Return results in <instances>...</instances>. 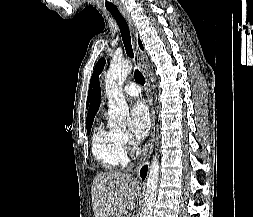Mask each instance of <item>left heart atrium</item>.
<instances>
[{"mask_svg":"<svg viewBox=\"0 0 253 217\" xmlns=\"http://www.w3.org/2000/svg\"><path fill=\"white\" fill-rule=\"evenodd\" d=\"M151 119L144 102H136L130 110V128L138 138L145 137L150 129Z\"/></svg>","mask_w":253,"mask_h":217,"instance_id":"obj_1","label":"left heart atrium"}]
</instances>
